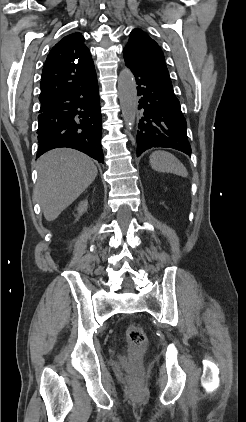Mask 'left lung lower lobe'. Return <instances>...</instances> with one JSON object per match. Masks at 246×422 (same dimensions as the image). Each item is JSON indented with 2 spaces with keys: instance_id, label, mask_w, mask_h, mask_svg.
Wrapping results in <instances>:
<instances>
[{
  "instance_id": "1",
  "label": "left lung lower lobe",
  "mask_w": 246,
  "mask_h": 422,
  "mask_svg": "<svg viewBox=\"0 0 246 422\" xmlns=\"http://www.w3.org/2000/svg\"><path fill=\"white\" fill-rule=\"evenodd\" d=\"M125 64L135 76L139 99L137 156L153 147L173 148L191 155L186 120L173 87L138 62L124 55Z\"/></svg>"
}]
</instances>
